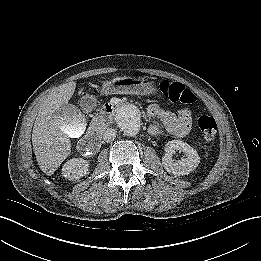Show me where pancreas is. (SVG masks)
<instances>
[{
	"label": "pancreas",
	"instance_id": "obj_1",
	"mask_svg": "<svg viewBox=\"0 0 261 261\" xmlns=\"http://www.w3.org/2000/svg\"><path fill=\"white\" fill-rule=\"evenodd\" d=\"M93 127L99 131L100 133L104 132V130L108 127V124L104 118L97 119L93 124Z\"/></svg>",
	"mask_w": 261,
	"mask_h": 261
}]
</instances>
